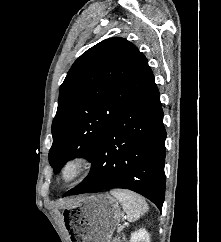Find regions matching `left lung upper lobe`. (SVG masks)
I'll return each instance as SVG.
<instances>
[{"label":"left lung upper lobe","instance_id":"obj_1","mask_svg":"<svg viewBox=\"0 0 221 242\" xmlns=\"http://www.w3.org/2000/svg\"><path fill=\"white\" fill-rule=\"evenodd\" d=\"M153 82L146 57L126 39L103 40L82 54L60 87L49 151L54 172L77 156L91 161L107 128Z\"/></svg>","mask_w":221,"mask_h":242}]
</instances>
